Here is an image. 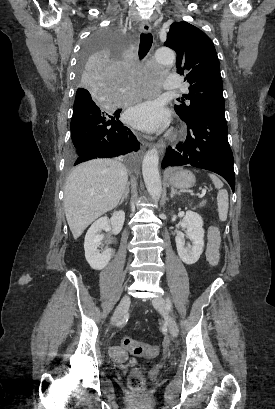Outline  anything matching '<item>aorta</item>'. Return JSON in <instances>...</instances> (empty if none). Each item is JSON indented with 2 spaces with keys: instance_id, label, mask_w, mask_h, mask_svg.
I'll return each instance as SVG.
<instances>
[{
  "instance_id": "aorta-1",
  "label": "aorta",
  "mask_w": 275,
  "mask_h": 409,
  "mask_svg": "<svg viewBox=\"0 0 275 409\" xmlns=\"http://www.w3.org/2000/svg\"><path fill=\"white\" fill-rule=\"evenodd\" d=\"M150 57L151 60H159L162 64H168V62H173L175 52H173L171 48H159V50L151 51ZM158 162V150H156V148L147 150L142 162V172L146 188L154 200L160 198L162 190Z\"/></svg>"
}]
</instances>
